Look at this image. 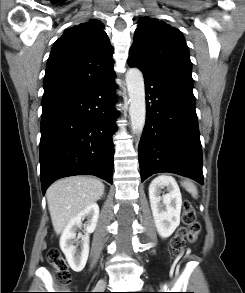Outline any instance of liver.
<instances>
[{"label": "liver", "instance_id": "liver-1", "mask_svg": "<svg viewBox=\"0 0 245 293\" xmlns=\"http://www.w3.org/2000/svg\"><path fill=\"white\" fill-rule=\"evenodd\" d=\"M104 193V184L85 176H73L58 180L47 192L48 209L56 234H60L68 222Z\"/></svg>", "mask_w": 245, "mask_h": 293}]
</instances>
